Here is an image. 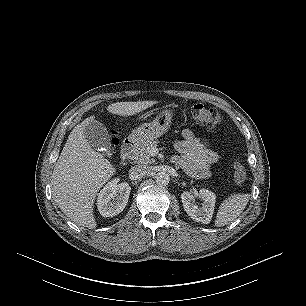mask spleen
Here are the masks:
<instances>
[{"label": "spleen", "instance_id": "1", "mask_svg": "<svg viewBox=\"0 0 306 306\" xmlns=\"http://www.w3.org/2000/svg\"><path fill=\"white\" fill-rule=\"evenodd\" d=\"M250 194H233L220 205L215 226L222 227L234 221L246 208Z\"/></svg>", "mask_w": 306, "mask_h": 306}]
</instances>
